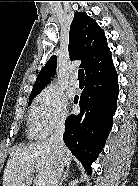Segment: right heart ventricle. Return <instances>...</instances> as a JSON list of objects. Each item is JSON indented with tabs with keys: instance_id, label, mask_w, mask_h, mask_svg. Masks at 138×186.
Segmentation results:
<instances>
[{
	"instance_id": "right-heart-ventricle-1",
	"label": "right heart ventricle",
	"mask_w": 138,
	"mask_h": 186,
	"mask_svg": "<svg viewBox=\"0 0 138 186\" xmlns=\"http://www.w3.org/2000/svg\"><path fill=\"white\" fill-rule=\"evenodd\" d=\"M28 133L32 137L42 138L45 136V133L41 129L38 119H37V110L36 106L32 107L30 116L28 118Z\"/></svg>"
}]
</instances>
